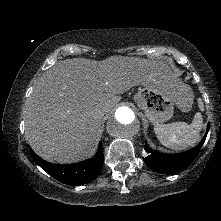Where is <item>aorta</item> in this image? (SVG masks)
I'll return each instance as SVG.
<instances>
[{
    "label": "aorta",
    "mask_w": 221,
    "mask_h": 221,
    "mask_svg": "<svg viewBox=\"0 0 221 221\" xmlns=\"http://www.w3.org/2000/svg\"><path fill=\"white\" fill-rule=\"evenodd\" d=\"M106 128L108 133L116 138H131L138 133L139 122L131 108L121 106L108 119Z\"/></svg>",
    "instance_id": "762f6f07"
}]
</instances>
